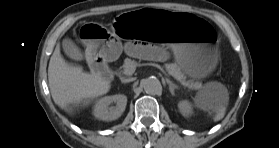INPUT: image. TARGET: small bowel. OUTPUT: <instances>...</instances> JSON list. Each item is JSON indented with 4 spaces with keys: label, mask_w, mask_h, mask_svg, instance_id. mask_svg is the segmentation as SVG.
<instances>
[{
    "label": "small bowel",
    "mask_w": 279,
    "mask_h": 148,
    "mask_svg": "<svg viewBox=\"0 0 279 148\" xmlns=\"http://www.w3.org/2000/svg\"><path fill=\"white\" fill-rule=\"evenodd\" d=\"M124 51L131 57L165 60L167 58L166 52L148 42L131 40L124 44Z\"/></svg>",
    "instance_id": "obj_1"
}]
</instances>
